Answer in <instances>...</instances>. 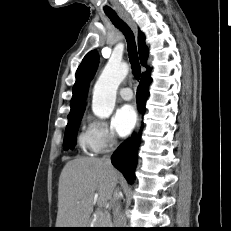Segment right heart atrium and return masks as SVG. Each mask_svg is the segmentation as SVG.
<instances>
[{
    "mask_svg": "<svg viewBox=\"0 0 231 231\" xmlns=\"http://www.w3.org/2000/svg\"><path fill=\"white\" fill-rule=\"evenodd\" d=\"M88 129L97 143L99 152L106 151L117 145V136L112 126L106 121L89 118Z\"/></svg>",
    "mask_w": 231,
    "mask_h": 231,
    "instance_id": "1",
    "label": "right heart atrium"
}]
</instances>
